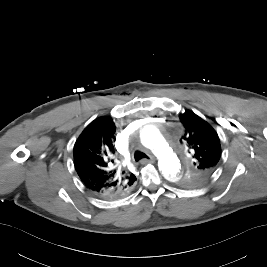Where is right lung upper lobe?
I'll return each mask as SVG.
<instances>
[{"label":"right lung upper lobe","mask_w":267,"mask_h":267,"mask_svg":"<svg viewBox=\"0 0 267 267\" xmlns=\"http://www.w3.org/2000/svg\"><path fill=\"white\" fill-rule=\"evenodd\" d=\"M115 131L110 117L97 118L74 145V164L80 179L87 189L101 197L126 195V189L136 181L134 174L114 168L112 138Z\"/></svg>","instance_id":"cb5924a9"}]
</instances>
